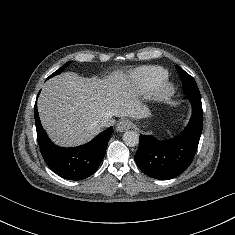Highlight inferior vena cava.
Returning a JSON list of instances; mask_svg holds the SVG:
<instances>
[{
	"label": "inferior vena cava",
	"instance_id": "obj_1",
	"mask_svg": "<svg viewBox=\"0 0 235 235\" xmlns=\"http://www.w3.org/2000/svg\"><path fill=\"white\" fill-rule=\"evenodd\" d=\"M109 121H110L109 118H103V119H101V120L98 121V125H99L100 127L108 126V125H109Z\"/></svg>",
	"mask_w": 235,
	"mask_h": 235
}]
</instances>
